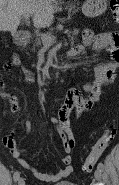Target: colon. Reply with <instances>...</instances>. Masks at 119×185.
Returning a JSON list of instances; mask_svg holds the SVG:
<instances>
[{
  "mask_svg": "<svg viewBox=\"0 0 119 185\" xmlns=\"http://www.w3.org/2000/svg\"><path fill=\"white\" fill-rule=\"evenodd\" d=\"M110 10L113 20L119 22V0H110ZM116 130L114 127H108L102 135L97 139L95 145L93 146L91 152L86 157L83 164V169L89 172L93 169L98 159L102 156L104 151L109 146V143L113 140Z\"/></svg>",
  "mask_w": 119,
  "mask_h": 185,
  "instance_id": "colon-1",
  "label": "colon"
}]
</instances>
